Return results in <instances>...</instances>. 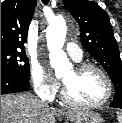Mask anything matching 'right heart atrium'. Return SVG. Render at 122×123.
I'll return each mask as SVG.
<instances>
[{"label": "right heart atrium", "mask_w": 122, "mask_h": 123, "mask_svg": "<svg viewBox=\"0 0 122 123\" xmlns=\"http://www.w3.org/2000/svg\"><path fill=\"white\" fill-rule=\"evenodd\" d=\"M31 80L37 95L44 99H52L59 90L58 81L39 63L31 66Z\"/></svg>", "instance_id": "d8ad5b80"}]
</instances>
